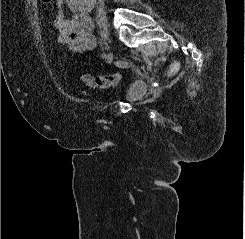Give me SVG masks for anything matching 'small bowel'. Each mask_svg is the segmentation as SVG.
I'll return each instance as SVG.
<instances>
[{
  "instance_id": "1",
  "label": "small bowel",
  "mask_w": 245,
  "mask_h": 239,
  "mask_svg": "<svg viewBox=\"0 0 245 239\" xmlns=\"http://www.w3.org/2000/svg\"><path fill=\"white\" fill-rule=\"evenodd\" d=\"M97 0H57V13L53 25L58 31L60 45L77 53L91 51L96 46L93 35L92 12ZM69 14L66 15L64 8Z\"/></svg>"
}]
</instances>
